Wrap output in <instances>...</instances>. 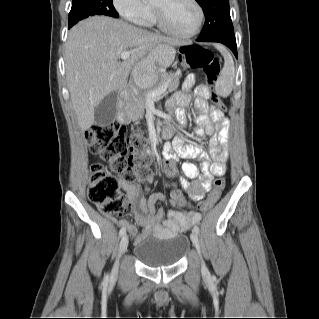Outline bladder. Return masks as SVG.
<instances>
[{
    "instance_id": "1",
    "label": "bladder",
    "mask_w": 319,
    "mask_h": 319,
    "mask_svg": "<svg viewBox=\"0 0 319 319\" xmlns=\"http://www.w3.org/2000/svg\"><path fill=\"white\" fill-rule=\"evenodd\" d=\"M191 242L187 235L170 237L147 235L137 241L134 256L147 267H163L180 262L190 251Z\"/></svg>"
}]
</instances>
